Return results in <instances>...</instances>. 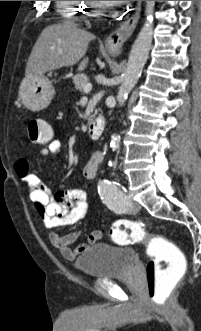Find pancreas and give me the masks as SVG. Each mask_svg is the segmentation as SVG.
<instances>
[{
	"label": "pancreas",
	"instance_id": "pancreas-1",
	"mask_svg": "<svg viewBox=\"0 0 201 331\" xmlns=\"http://www.w3.org/2000/svg\"><path fill=\"white\" fill-rule=\"evenodd\" d=\"M72 82L74 84V87L78 91L82 92L83 87L89 82V79L85 74H77V75L73 76Z\"/></svg>",
	"mask_w": 201,
	"mask_h": 331
}]
</instances>
